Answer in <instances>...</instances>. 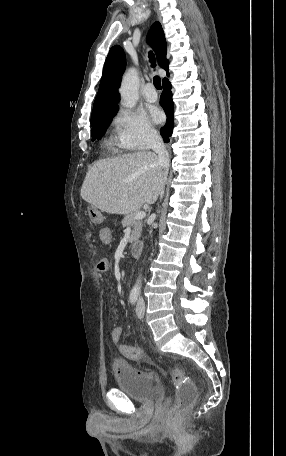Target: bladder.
<instances>
[{"label": "bladder", "mask_w": 286, "mask_h": 456, "mask_svg": "<svg viewBox=\"0 0 286 456\" xmlns=\"http://www.w3.org/2000/svg\"><path fill=\"white\" fill-rule=\"evenodd\" d=\"M114 375L117 387L134 401L150 403L164 398V387L160 379L152 374L119 362L114 365Z\"/></svg>", "instance_id": "1"}]
</instances>
